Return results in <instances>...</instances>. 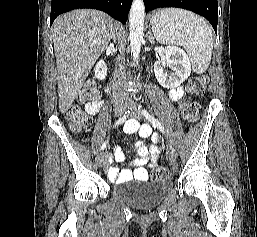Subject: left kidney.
Masks as SVG:
<instances>
[{"instance_id":"left-kidney-1","label":"left kidney","mask_w":257,"mask_h":237,"mask_svg":"<svg viewBox=\"0 0 257 237\" xmlns=\"http://www.w3.org/2000/svg\"><path fill=\"white\" fill-rule=\"evenodd\" d=\"M165 67H171L174 72L168 74ZM154 73L160 85L168 89L176 88L191 74L189 58L181 48L167 46L164 59L154 63Z\"/></svg>"}]
</instances>
